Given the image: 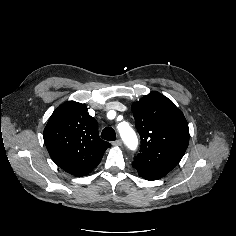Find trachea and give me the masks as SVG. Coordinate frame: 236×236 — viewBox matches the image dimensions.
<instances>
[{"mask_svg":"<svg viewBox=\"0 0 236 236\" xmlns=\"http://www.w3.org/2000/svg\"><path fill=\"white\" fill-rule=\"evenodd\" d=\"M101 137L102 139L107 140V141H114L116 140V133L113 128L106 127L103 129L101 133Z\"/></svg>","mask_w":236,"mask_h":236,"instance_id":"obj_1","label":"trachea"}]
</instances>
